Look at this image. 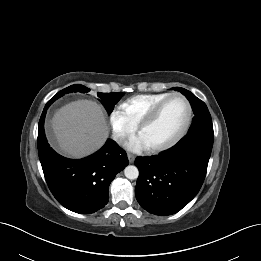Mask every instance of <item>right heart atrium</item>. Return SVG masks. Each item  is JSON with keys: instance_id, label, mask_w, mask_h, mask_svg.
I'll return each instance as SVG.
<instances>
[{"instance_id": "d8ad5b80", "label": "right heart atrium", "mask_w": 261, "mask_h": 261, "mask_svg": "<svg viewBox=\"0 0 261 261\" xmlns=\"http://www.w3.org/2000/svg\"><path fill=\"white\" fill-rule=\"evenodd\" d=\"M109 122L114 139L122 143L135 131V126L128 120L126 115L118 108H114L109 115Z\"/></svg>"}]
</instances>
